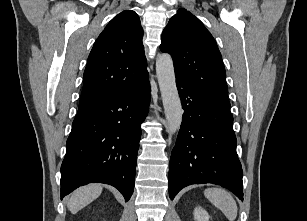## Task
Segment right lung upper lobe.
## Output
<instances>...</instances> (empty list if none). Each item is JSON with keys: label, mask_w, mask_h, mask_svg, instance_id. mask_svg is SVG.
<instances>
[{"label": "right lung upper lobe", "mask_w": 307, "mask_h": 221, "mask_svg": "<svg viewBox=\"0 0 307 221\" xmlns=\"http://www.w3.org/2000/svg\"><path fill=\"white\" fill-rule=\"evenodd\" d=\"M142 38L134 11H123L108 23L89 54L78 110L132 90L148 78Z\"/></svg>", "instance_id": "1"}]
</instances>
